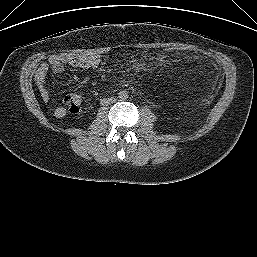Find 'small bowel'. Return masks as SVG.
I'll return each instance as SVG.
<instances>
[{"instance_id": "1", "label": "small bowel", "mask_w": 257, "mask_h": 257, "mask_svg": "<svg viewBox=\"0 0 257 257\" xmlns=\"http://www.w3.org/2000/svg\"><path fill=\"white\" fill-rule=\"evenodd\" d=\"M101 58L97 54H81L77 56L72 55H53L46 61L40 64L35 73V82L39 88L41 97L45 102H48L50 97L45 87V79L49 72L53 74H61L64 71L65 65H70L75 68L91 69L100 65ZM66 110L64 108L57 107L54 110V115L57 118L65 116Z\"/></svg>"}]
</instances>
